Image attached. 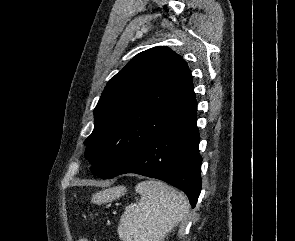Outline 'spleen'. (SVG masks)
<instances>
[{"instance_id": "1", "label": "spleen", "mask_w": 295, "mask_h": 241, "mask_svg": "<svg viewBox=\"0 0 295 241\" xmlns=\"http://www.w3.org/2000/svg\"><path fill=\"white\" fill-rule=\"evenodd\" d=\"M135 189L141 198L125 207L117 228L122 241H160L185 221L188 201L182 193L157 180L141 181Z\"/></svg>"}]
</instances>
